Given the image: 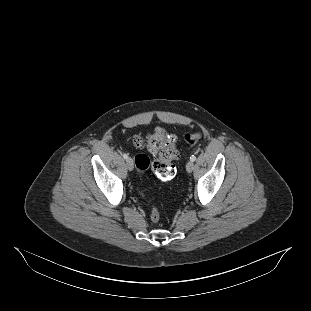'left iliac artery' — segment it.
Instances as JSON below:
<instances>
[{
    "instance_id": "obj_1",
    "label": "left iliac artery",
    "mask_w": 311,
    "mask_h": 311,
    "mask_svg": "<svg viewBox=\"0 0 311 311\" xmlns=\"http://www.w3.org/2000/svg\"><path fill=\"white\" fill-rule=\"evenodd\" d=\"M190 160H191L192 162L195 161V160H196V156L192 155V156L190 157Z\"/></svg>"
}]
</instances>
